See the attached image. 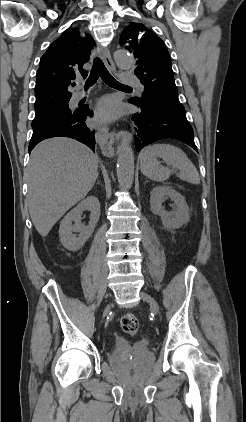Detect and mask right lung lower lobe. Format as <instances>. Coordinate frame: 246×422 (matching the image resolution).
Masks as SVG:
<instances>
[{
    "mask_svg": "<svg viewBox=\"0 0 246 422\" xmlns=\"http://www.w3.org/2000/svg\"><path fill=\"white\" fill-rule=\"evenodd\" d=\"M92 115L93 112L88 108H80L71 117L52 119L32 126L29 153L40 141L59 136L76 139L95 152V132L85 124L86 118Z\"/></svg>",
    "mask_w": 246,
    "mask_h": 422,
    "instance_id": "right-lung-lower-lobe-1",
    "label": "right lung lower lobe"
}]
</instances>
